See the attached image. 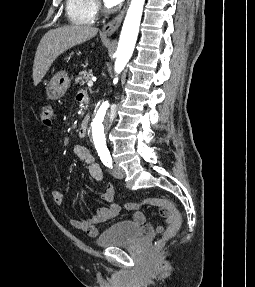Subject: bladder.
I'll list each match as a JSON object with an SVG mask.
<instances>
[{
	"label": "bladder",
	"mask_w": 255,
	"mask_h": 287,
	"mask_svg": "<svg viewBox=\"0 0 255 287\" xmlns=\"http://www.w3.org/2000/svg\"><path fill=\"white\" fill-rule=\"evenodd\" d=\"M145 229L133 221H120L107 228L95 241L99 247L118 246L137 241Z\"/></svg>",
	"instance_id": "bladder-1"
}]
</instances>
